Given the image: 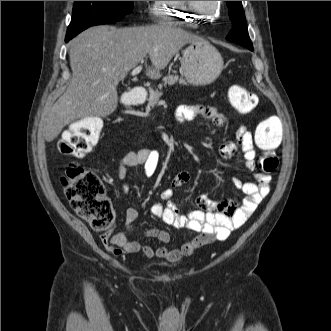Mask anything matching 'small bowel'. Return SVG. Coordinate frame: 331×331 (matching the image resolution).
<instances>
[{
    "mask_svg": "<svg viewBox=\"0 0 331 331\" xmlns=\"http://www.w3.org/2000/svg\"><path fill=\"white\" fill-rule=\"evenodd\" d=\"M175 117L180 123L200 119L212 121L217 126H224L227 122L226 116L212 106L182 105L176 109ZM238 149L243 153L245 168L253 171L256 157L255 142L252 133L244 126L237 129L234 141H226L220 146L219 153L224 160H229ZM158 160L159 153L154 149L130 152L122 157L119 173L124 175L128 167L143 166L146 176L150 177L157 168ZM255 179L256 182L233 179L235 187L246 195L242 203L231 199L213 200L202 194L196 198L198 209L183 214L174 199V189L186 184L190 180V174L188 172L177 174L171 186L161 192L160 201L151 207L150 212L167 225L197 233L195 238L185 242L179 248H154L150 245H142L138 240L131 238L133 225L139 215L138 210L134 207L128 208L125 213L124 224L127 232H107L101 236V241L107 250L116 255L142 251L150 258L160 257L177 261L183 256L190 255L198 247L215 240H226L234 229L239 228L252 216L258 205L270 192L271 177L268 174L257 173ZM128 190V184H124V193H127ZM145 235L155 237L162 243L170 241V234L159 228H149L145 231Z\"/></svg>",
    "mask_w": 331,
    "mask_h": 331,
    "instance_id": "obj_1",
    "label": "small bowel"
}]
</instances>
